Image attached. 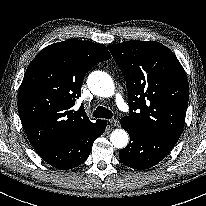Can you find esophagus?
Returning <instances> with one entry per match:
<instances>
[{"instance_id": "1", "label": "esophagus", "mask_w": 206, "mask_h": 206, "mask_svg": "<svg viewBox=\"0 0 206 206\" xmlns=\"http://www.w3.org/2000/svg\"><path fill=\"white\" fill-rule=\"evenodd\" d=\"M110 123H111L113 126H115V127H119V121H118L117 119H112V120L110 121Z\"/></svg>"}]
</instances>
